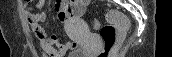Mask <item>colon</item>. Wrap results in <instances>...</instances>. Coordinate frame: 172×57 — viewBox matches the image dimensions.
<instances>
[{
  "label": "colon",
  "mask_w": 172,
  "mask_h": 57,
  "mask_svg": "<svg viewBox=\"0 0 172 57\" xmlns=\"http://www.w3.org/2000/svg\"><path fill=\"white\" fill-rule=\"evenodd\" d=\"M106 20L108 24L104 26H101L98 20L93 21V27L100 30L103 40V49L98 53V57H112L130 25L127 17L116 10L107 12Z\"/></svg>",
  "instance_id": "obj_1"
}]
</instances>
